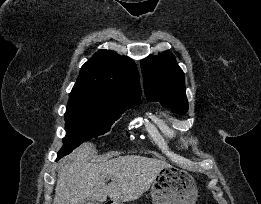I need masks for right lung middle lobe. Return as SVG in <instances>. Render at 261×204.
<instances>
[{"instance_id":"right-lung-middle-lobe-1","label":"right lung middle lobe","mask_w":261,"mask_h":204,"mask_svg":"<svg viewBox=\"0 0 261 204\" xmlns=\"http://www.w3.org/2000/svg\"><path fill=\"white\" fill-rule=\"evenodd\" d=\"M137 103L101 104L89 98H69L65 113L66 137L58 156L69 154L84 141L105 134L126 110Z\"/></svg>"}]
</instances>
